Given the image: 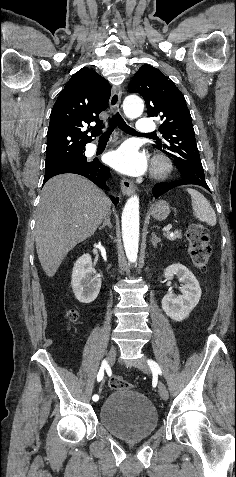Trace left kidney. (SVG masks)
Returning a JSON list of instances; mask_svg holds the SVG:
<instances>
[{"label": "left kidney", "mask_w": 236, "mask_h": 477, "mask_svg": "<svg viewBox=\"0 0 236 477\" xmlns=\"http://www.w3.org/2000/svg\"><path fill=\"white\" fill-rule=\"evenodd\" d=\"M176 275L184 285L182 295H175L169 291L162 299V309L174 321H183L199 303L201 288L198 280L188 268L182 264H172L164 271L167 286L171 285L170 279Z\"/></svg>", "instance_id": "obj_1"}]
</instances>
